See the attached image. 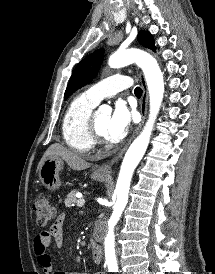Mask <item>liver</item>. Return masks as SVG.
I'll return each instance as SVG.
<instances>
[{"instance_id":"1","label":"liver","mask_w":215,"mask_h":274,"mask_svg":"<svg viewBox=\"0 0 215 274\" xmlns=\"http://www.w3.org/2000/svg\"><path fill=\"white\" fill-rule=\"evenodd\" d=\"M60 157L63 159L73 170H83L90 166V164L84 160L80 155L64 148L60 144H53L51 145L46 152L44 153L43 157L41 158L37 171L40 170L41 166L43 165L44 161L50 157Z\"/></svg>"}]
</instances>
